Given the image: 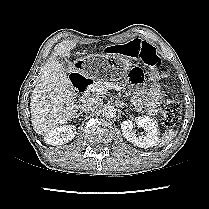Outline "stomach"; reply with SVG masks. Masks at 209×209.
Listing matches in <instances>:
<instances>
[{"label": "stomach", "mask_w": 209, "mask_h": 209, "mask_svg": "<svg viewBox=\"0 0 209 209\" xmlns=\"http://www.w3.org/2000/svg\"><path fill=\"white\" fill-rule=\"evenodd\" d=\"M72 68L75 73L92 81L109 82L124 78L128 63L124 57L117 54L79 56L74 59Z\"/></svg>", "instance_id": "stomach-1"}]
</instances>
